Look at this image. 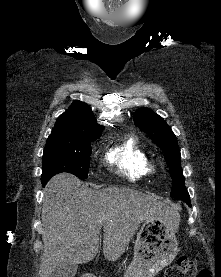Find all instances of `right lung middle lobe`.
<instances>
[{
	"label": "right lung middle lobe",
	"instance_id": "dd1d6c3e",
	"mask_svg": "<svg viewBox=\"0 0 221 277\" xmlns=\"http://www.w3.org/2000/svg\"><path fill=\"white\" fill-rule=\"evenodd\" d=\"M101 133L76 136L51 134L42 158V185L57 173L68 172L81 179L88 177L91 142Z\"/></svg>",
	"mask_w": 221,
	"mask_h": 277
}]
</instances>
